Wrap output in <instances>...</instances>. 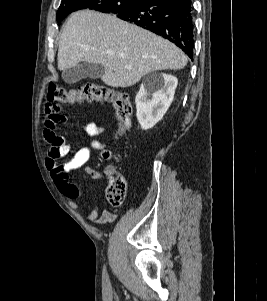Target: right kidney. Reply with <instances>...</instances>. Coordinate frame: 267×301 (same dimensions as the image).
Listing matches in <instances>:
<instances>
[{
	"mask_svg": "<svg viewBox=\"0 0 267 301\" xmlns=\"http://www.w3.org/2000/svg\"><path fill=\"white\" fill-rule=\"evenodd\" d=\"M178 80L176 77L162 73L152 83L141 85L135 103L137 119L143 130L152 128L167 112L173 101ZM152 96L149 99V96Z\"/></svg>",
	"mask_w": 267,
	"mask_h": 301,
	"instance_id": "1",
	"label": "right kidney"
}]
</instances>
